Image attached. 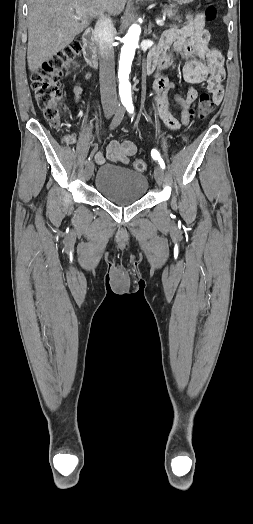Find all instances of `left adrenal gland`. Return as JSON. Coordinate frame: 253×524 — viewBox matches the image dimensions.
Wrapping results in <instances>:
<instances>
[{
  "label": "left adrenal gland",
  "instance_id": "left-adrenal-gland-1",
  "mask_svg": "<svg viewBox=\"0 0 253 524\" xmlns=\"http://www.w3.org/2000/svg\"><path fill=\"white\" fill-rule=\"evenodd\" d=\"M151 28H152V24L150 23L149 24V33H151ZM154 37H155V35H154Z\"/></svg>",
  "mask_w": 253,
  "mask_h": 524
}]
</instances>
